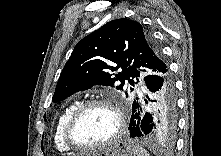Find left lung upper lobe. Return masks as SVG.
<instances>
[{
  "instance_id": "obj_1",
  "label": "left lung upper lobe",
  "mask_w": 221,
  "mask_h": 156,
  "mask_svg": "<svg viewBox=\"0 0 221 156\" xmlns=\"http://www.w3.org/2000/svg\"><path fill=\"white\" fill-rule=\"evenodd\" d=\"M167 67L159 47L139 22L112 20L87 35L75 46L59 77L53 102L95 85L123 91L135 86L147 73ZM131 91L133 88H131ZM126 96L128 91L125 90Z\"/></svg>"
}]
</instances>
